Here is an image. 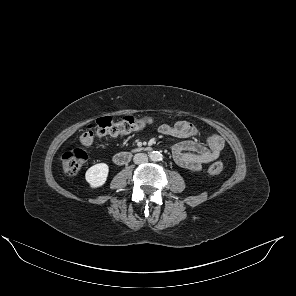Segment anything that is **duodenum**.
<instances>
[{
    "label": "duodenum",
    "instance_id": "410a0bca",
    "mask_svg": "<svg viewBox=\"0 0 296 296\" xmlns=\"http://www.w3.org/2000/svg\"><path fill=\"white\" fill-rule=\"evenodd\" d=\"M144 150H149V148H145ZM132 158V153L130 152H120L114 156V163L116 165H125L127 164Z\"/></svg>",
    "mask_w": 296,
    "mask_h": 296
}]
</instances>
